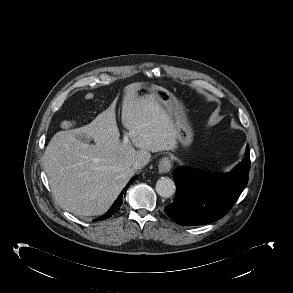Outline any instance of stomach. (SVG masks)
<instances>
[{"label":"stomach","instance_id":"0dacf381","mask_svg":"<svg viewBox=\"0 0 293 293\" xmlns=\"http://www.w3.org/2000/svg\"><path fill=\"white\" fill-rule=\"evenodd\" d=\"M151 95L156 97L174 119L179 142L183 146H189L193 140V130L181 103L171 92L164 88L156 89L153 86L143 85L136 89V96L140 99H145Z\"/></svg>","mask_w":293,"mask_h":293}]
</instances>
